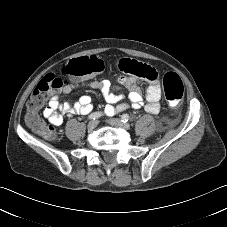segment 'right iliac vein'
Masks as SVG:
<instances>
[{
    "instance_id": "obj_1",
    "label": "right iliac vein",
    "mask_w": 227,
    "mask_h": 227,
    "mask_svg": "<svg viewBox=\"0 0 227 227\" xmlns=\"http://www.w3.org/2000/svg\"><path fill=\"white\" fill-rule=\"evenodd\" d=\"M98 125V121L97 120H91L89 123H88V129L90 130H93L97 127Z\"/></svg>"
}]
</instances>
